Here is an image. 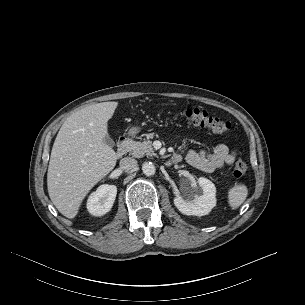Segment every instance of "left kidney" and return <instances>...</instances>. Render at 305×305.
<instances>
[{
    "label": "left kidney",
    "mask_w": 305,
    "mask_h": 305,
    "mask_svg": "<svg viewBox=\"0 0 305 305\" xmlns=\"http://www.w3.org/2000/svg\"><path fill=\"white\" fill-rule=\"evenodd\" d=\"M198 184L203 192L201 195L195 196L193 200H184L181 197L174 198V204L182 214L204 216L216 206L215 185L204 177L198 179Z\"/></svg>",
    "instance_id": "obj_1"
}]
</instances>
